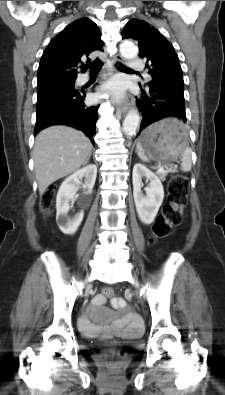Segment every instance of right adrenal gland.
Masks as SVG:
<instances>
[{
    "mask_svg": "<svg viewBox=\"0 0 225 395\" xmlns=\"http://www.w3.org/2000/svg\"><path fill=\"white\" fill-rule=\"evenodd\" d=\"M90 157H91V154L88 156V158L86 160V163L89 161Z\"/></svg>",
    "mask_w": 225,
    "mask_h": 395,
    "instance_id": "obj_1",
    "label": "right adrenal gland"
}]
</instances>
